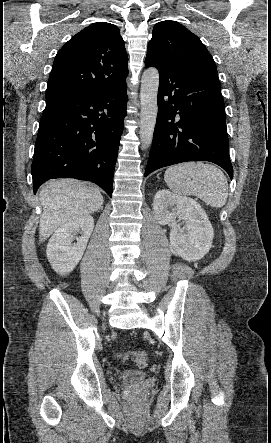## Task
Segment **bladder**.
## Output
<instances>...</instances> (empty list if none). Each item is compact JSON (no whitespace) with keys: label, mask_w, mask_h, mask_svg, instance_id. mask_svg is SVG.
<instances>
[{"label":"bladder","mask_w":271,"mask_h":443,"mask_svg":"<svg viewBox=\"0 0 271 443\" xmlns=\"http://www.w3.org/2000/svg\"><path fill=\"white\" fill-rule=\"evenodd\" d=\"M118 377L123 381H138L146 377V372L140 370H125L120 373Z\"/></svg>","instance_id":"31cf9c89"}]
</instances>
